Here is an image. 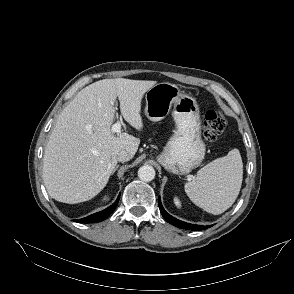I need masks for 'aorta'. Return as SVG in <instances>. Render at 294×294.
<instances>
[{"label":"aorta","mask_w":294,"mask_h":294,"mask_svg":"<svg viewBox=\"0 0 294 294\" xmlns=\"http://www.w3.org/2000/svg\"><path fill=\"white\" fill-rule=\"evenodd\" d=\"M138 177L145 182H150L155 178V169L150 165H143L138 170Z\"/></svg>","instance_id":"aorta-1"}]
</instances>
